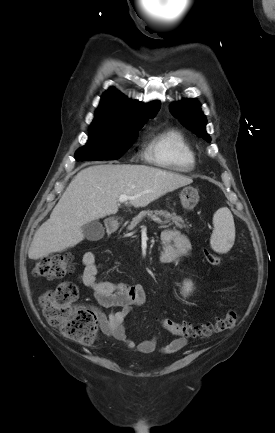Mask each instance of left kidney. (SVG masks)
Returning <instances> with one entry per match:
<instances>
[{"label":"left kidney","instance_id":"left-kidney-1","mask_svg":"<svg viewBox=\"0 0 275 433\" xmlns=\"http://www.w3.org/2000/svg\"><path fill=\"white\" fill-rule=\"evenodd\" d=\"M192 290V282L190 281H184V287L182 289V292L184 296L188 294Z\"/></svg>","mask_w":275,"mask_h":433}]
</instances>
